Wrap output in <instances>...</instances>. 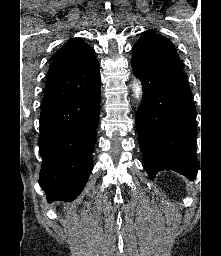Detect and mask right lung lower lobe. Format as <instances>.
I'll return each instance as SVG.
<instances>
[{
  "label": "right lung lower lobe",
  "instance_id": "1",
  "mask_svg": "<svg viewBox=\"0 0 221 256\" xmlns=\"http://www.w3.org/2000/svg\"><path fill=\"white\" fill-rule=\"evenodd\" d=\"M101 89L42 109L39 150L43 164L39 184L48 202L73 201L92 171V152L100 111Z\"/></svg>",
  "mask_w": 221,
  "mask_h": 256
}]
</instances>
